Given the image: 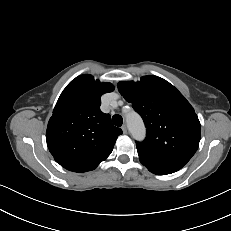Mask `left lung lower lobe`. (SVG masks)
<instances>
[{"label": "left lung lower lobe", "instance_id": "obj_1", "mask_svg": "<svg viewBox=\"0 0 231 231\" xmlns=\"http://www.w3.org/2000/svg\"><path fill=\"white\" fill-rule=\"evenodd\" d=\"M144 164V163H142ZM148 170L154 174H157V175H166V174H171L175 171H171V170H166V169H161V168H157V167H153V166H150V165H147V164H144Z\"/></svg>", "mask_w": 231, "mask_h": 231}]
</instances>
